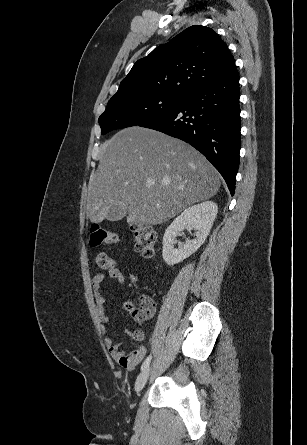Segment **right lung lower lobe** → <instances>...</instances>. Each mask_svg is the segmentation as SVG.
Returning <instances> with one entry per match:
<instances>
[{"mask_svg":"<svg viewBox=\"0 0 307 445\" xmlns=\"http://www.w3.org/2000/svg\"><path fill=\"white\" fill-rule=\"evenodd\" d=\"M239 95L235 68L188 93L171 111L139 126L192 145L221 173L234 195L241 146Z\"/></svg>","mask_w":307,"mask_h":445,"instance_id":"obj_1","label":"right lung lower lobe"}]
</instances>
